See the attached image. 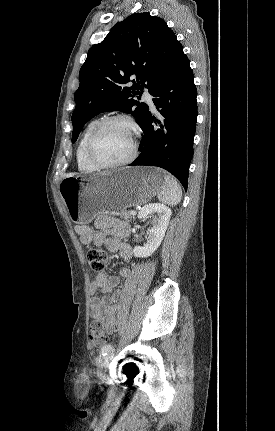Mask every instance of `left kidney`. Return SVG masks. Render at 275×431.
<instances>
[{
  "mask_svg": "<svg viewBox=\"0 0 275 431\" xmlns=\"http://www.w3.org/2000/svg\"><path fill=\"white\" fill-rule=\"evenodd\" d=\"M152 226L148 229V239L143 247L135 246L133 253L135 257H148L160 246L171 217V209L164 204L152 203L145 205L138 213V218L146 219L154 215Z\"/></svg>",
  "mask_w": 275,
  "mask_h": 431,
  "instance_id": "1",
  "label": "left kidney"
}]
</instances>
